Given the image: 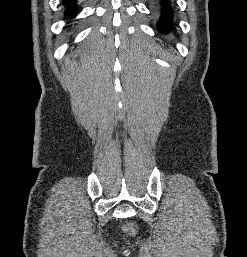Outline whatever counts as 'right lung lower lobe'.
I'll return each instance as SVG.
<instances>
[{
  "label": "right lung lower lobe",
  "mask_w": 247,
  "mask_h": 257,
  "mask_svg": "<svg viewBox=\"0 0 247 257\" xmlns=\"http://www.w3.org/2000/svg\"><path fill=\"white\" fill-rule=\"evenodd\" d=\"M63 3L66 7V14L68 16H75L77 12L76 0H63Z\"/></svg>",
  "instance_id": "right-lung-lower-lobe-1"
}]
</instances>
